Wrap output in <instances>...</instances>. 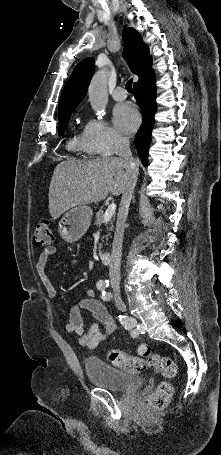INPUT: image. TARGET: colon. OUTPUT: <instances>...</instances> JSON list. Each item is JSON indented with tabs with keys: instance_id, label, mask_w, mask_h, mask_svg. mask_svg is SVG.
<instances>
[{
	"instance_id": "1",
	"label": "colon",
	"mask_w": 221,
	"mask_h": 455,
	"mask_svg": "<svg viewBox=\"0 0 221 455\" xmlns=\"http://www.w3.org/2000/svg\"><path fill=\"white\" fill-rule=\"evenodd\" d=\"M34 244L37 247H50L54 240V233L49 221L38 223L33 234ZM139 357L129 355L121 350L112 349L109 352L110 362L127 372H141L150 367L164 377L172 378L177 373L175 362L170 357L153 353L150 347L142 344L138 348ZM173 395V387L169 382H161L155 391L148 397L146 405L161 410L167 406Z\"/></svg>"
}]
</instances>
